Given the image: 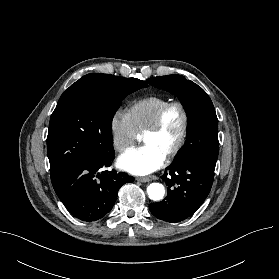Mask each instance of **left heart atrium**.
Returning a JSON list of instances; mask_svg holds the SVG:
<instances>
[{
  "instance_id": "39dd6f15",
  "label": "left heart atrium",
  "mask_w": 279,
  "mask_h": 279,
  "mask_svg": "<svg viewBox=\"0 0 279 279\" xmlns=\"http://www.w3.org/2000/svg\"><path fill=\"white\" fill-rule=\"evenodd\" d=\"M166 156L152 145L130 149L120 156L118 165L134 175H147L162 166Z\"/></svg>"
}]
</instances>
